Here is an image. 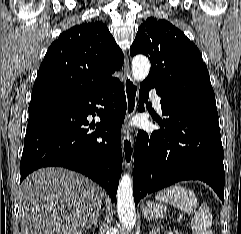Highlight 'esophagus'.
Wrapping results in <instances>:
<instances>
[{
	"label": "esophagus",
	"mask_w": 241,
	"mask_h": 234,
	"mask_svg": "<svg viewBox=\"0 0 241 234\" xmlns=\"http://www.w3.org/2000/svg\"><path fill=\"white\" fill-rule=\"evenodd\" d=\"M124 90L126 95L127 108L125 126L122 131V152L124 165L126 168L130 169L133 164V136L131 131L127 128L126 123L136 112L138 106L139 88L130 73L128 58L125 59L124 63Z\"/></svg>",
	"instance_id": "esophagus-1"
}]
</instances>
